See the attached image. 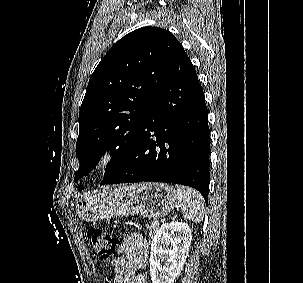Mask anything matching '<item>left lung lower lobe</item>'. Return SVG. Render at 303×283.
<instances>
[{"instance_id": "obj_1", "label": "left lung lower lobe", "mask_w": 303, "mask_h": 283, "mask_svg": "<svg viewBox=\"0 0 303 283\" xmlns=\"http://www.w3.org/2000/svg\"><path fill=\"white\" fill-rule=\"evenodd\" d=\"M209 152L204 93L182 50L152 97L127 160L105 184H182L197 189L207 202Z\"/></svg>"}]
</instances>
